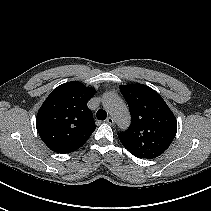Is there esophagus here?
<instances>
[{
  "mask_svg": "<svg viewBox=\"0 0 211 211\" xmlns=\"http://www.w3.org/2000/svg\"><path fill=\"white\" fill-rule=\"evenodd\" d=\"M106 123L110 124V125H113L115 123L114 119L112 117H108L106 119Z\"/></svg>",
  "mask_w": 211,
  "mask_h": 211,
  "instance_id": "34e87169",
  "label": "esophagus"
}]
</instances>
